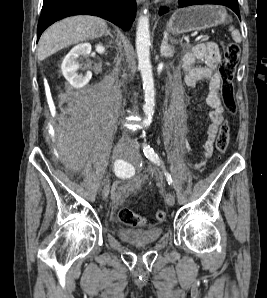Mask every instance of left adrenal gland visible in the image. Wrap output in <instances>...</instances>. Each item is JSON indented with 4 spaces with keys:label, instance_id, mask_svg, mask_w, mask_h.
I'll return each mask as SVG.
<instances>
[{
    "label": "left adrenal gland",
    "instance_id": "obj_1",
    "mask_svg": "<svg viewBox=\"0 0 267 298\" xmlns=\"http://www.w3.org/2000/svg\"><path fill=\"white\" fill-rule=\"evenodd\" d=\"M177 43H178V41L176 39H174V38H170L169 39L168 33L167 32H164L163 40H162L161 46H160L161 56H164L166 58L173 57V54H174V44H177Z\"/></svg>",
    "mask_w": 267,
    "mask_h": 298
}]
</instances>
